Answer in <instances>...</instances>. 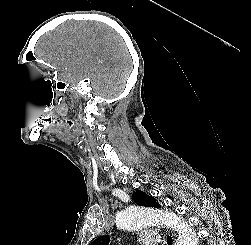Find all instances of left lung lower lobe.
<instances>
[{"mask_svg": "<svg viewBox=\"0 0 251 245\" xmlns=\"http://www.w3.org/2000/svg\"><path fill=\"white\" fill-rule=\"evenodd\" d=\"M167 241L169 242V245L172 244V240H171V238L169 236L167 237Z\"/></svg>", "mask_w": 251, "mask_h": 245, "instance_id": "left-lung-lower-lobe-1", "label": "left lung lower lobe"}]
</instances>
